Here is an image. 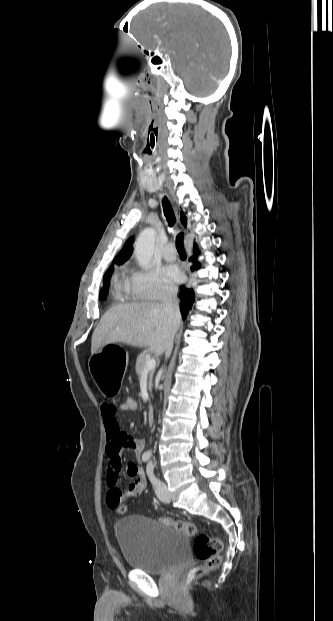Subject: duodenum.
<instances>
[{"label": "duodenum", "instance_id": "410a0bca", "mask_svg": "<svg viewBox=\"0 0 333 621\" xmlns=\"http://www.w3.org/2000/svg\"><path fill=\"white\" fill-rule=\"evenodd\" d=\"M155 419V412L153 408H149L147 411V421L149 424H152Z\"/></svg>", "mask_w": 333, "mask_h": 621}]
</instances>
